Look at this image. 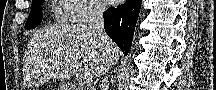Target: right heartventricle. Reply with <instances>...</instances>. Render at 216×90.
<instances>
[{
  "instance_id": "e07e8e85",
  "label": "right heart ventricle",
  "mask_w": 216,
  "mask_h": 90,
  "mask_svg": "<svg viewBox=\"0 0 216 90\" xmlns=\"http://www.w3.org/2000/svg\"><path fill=\"white\" fill-rule=\"evenodd\" d=\"M55 11L56 19H67L70 13H74V9H68V7L56 6ZM53 24H68V20H53Z\"/></svg>"
}]
</instances>
